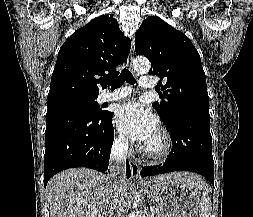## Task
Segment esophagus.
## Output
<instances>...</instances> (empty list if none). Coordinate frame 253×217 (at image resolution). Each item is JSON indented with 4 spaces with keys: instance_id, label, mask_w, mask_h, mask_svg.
Listing matches in <instances>:
<instances>
[{
    "instance_id": "esophagus-1",
    "label": "esophagus",
    "mask_w": 253,
    "mask_h": 217,
    "mask_svg": "<svg viewBox=\"0 0 253 217\" xmlns=\"http://www.w3.org/2000/svg\"><path fill=\"white\" fill-rule=\"evenodd\" d=\"M133 58H134V40H132L131 42V49H130L129 57L127 59V64L129 65L132 71H133V68H132ZM130 169H131L132 179L137 180L139 178V165L132 158L130 159Z\"/></svg>"
}]
</instances>
